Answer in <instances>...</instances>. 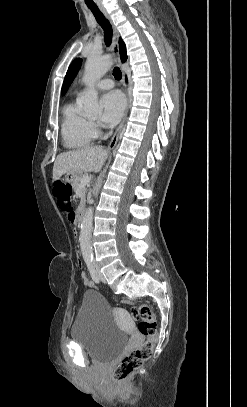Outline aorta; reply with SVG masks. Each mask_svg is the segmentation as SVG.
<instances>
[{"mask_svg": "<svg viewBox=\"0 0 247 407\" xmlns=\"http://www.w3.org/2000/svg\"><path fill=\"white\" fill-rule=\"evenodd\" d=\"M112 65L110 56H90L85 64L83 80L88 86L87 91L83 94L80 101L83 104V112L86 115H95L102 111V107L98 103V94L94 88V84L101 79ZM93 222V208L89 207L82 219L80 231V247L83 256L91 254V229Z\"/></svg>", "mask_w": 247, "mask_h": 407, "instance_id": "762f6f07", "label": "aorta"}]
</instances>
